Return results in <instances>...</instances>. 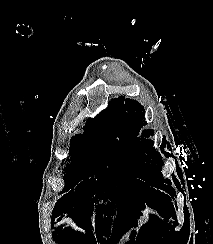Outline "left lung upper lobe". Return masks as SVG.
Here are the masks:
<instances>
[{
	"instance_id": "5c2ea615",
	"label": "left lung upper lobe",
	"mask_w": 213,
	"mask_h": 244,
	"mask_svg": "<svg viewBox=\"0 0 213 244\" xmlns=\"http://www.w3.org/2000/svg\"><path fill=\"white\" fill-rule=\"evenodd\" d=\"M110 117L115 127L120 128V132L127 139L129 149L137 157L136 164L140 170L149 172L161 184L168 180H162L161 167L164 164L160 153L153 147L154 142L144 137H149L153 134V130H145L139 135L140 129L146 124L142 105L132 99H124L123 96L109 102ZM168 187V186H167ZM174 191L172 187H168Z\"/></svg>"
}]
</instances>
